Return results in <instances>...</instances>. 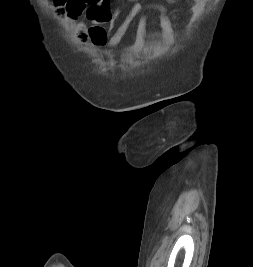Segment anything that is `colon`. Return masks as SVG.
Wrapping results in <instances>:
<instances>
[{"mask_svg": "<svg viewBox=\"0 0 253 267\" xmlns=\"http://www.w3.org/2000/svg\"><path fill=\"white\" fill-rule=\"evenodd\" d=\"M57 7L68 5L71 0H51ZM89 38L95 45H105L108 40V33L103 26L95 25L89 28Z\"/></svg>", "mask_w": 253, "mask_h": 267, "instance_id": "5ec220e1", "label": "colon"}]
</instances>
